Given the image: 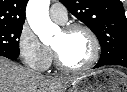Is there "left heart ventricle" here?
I'll use <instances>...</instances> for the list:
<instances>
[{
	"label": "left heart ventricle",
	"instance_id": "obj_1",
	"mask_svg": "<svg viewBox=\"0 0 127 92\" xmlns=\"http://www.w3.org/2000/svg\"><path fill=\"white\" fill-rule=\"evenodd\" d=\"M52 46L58 51L64 63L70 67H81L92 54L90 38L82 30L71 33L59 32Z\"/></svg>",
	"mask_w": 127,
	"mask_h": 92
}]
</instances>
